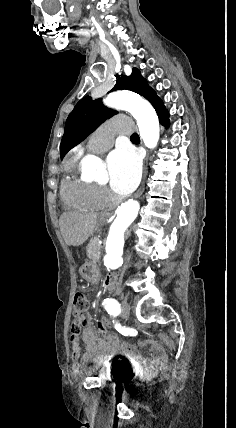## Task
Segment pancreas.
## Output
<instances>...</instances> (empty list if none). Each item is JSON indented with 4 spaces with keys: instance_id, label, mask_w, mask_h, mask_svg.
I'll return each mask as SVG.
<instances>
[{
    "instance_id": "pancreas-1",
    "label": "pancreas",
    "mask_w": 236,
    "mask_h": 428,
    "mask_svg": "<svg viewBox=\"0 0 236 428\" xmlns=\"http://www.w3.org/2000/svg\"><path fill=\"white\" fill-rule=\"evenodd\" d=\"M98 242V238H93L87 246V258H89V260H93V262H98L101 254V248H103V246H100Z\"/></svg>"
}]
</instances>
